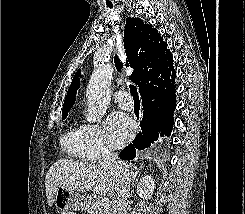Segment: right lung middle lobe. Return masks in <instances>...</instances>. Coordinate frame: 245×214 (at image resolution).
I'll return each instance as SVG.
<instances>
[{"label": "right lung middle lobe", "mask_w": 245, "mask_h": 214, "mask_svg": "<svg viewBox=\"0 0 245 214\" xmlns=\"http://www.w3.org/2000/svg\"><path fill=\"white\" fill-rule=\"evenodd\" d=\"M67 117V113H62V119H65Z\"/></svg>", "instance_id": "dd1d6c3e"}]
</instances>
